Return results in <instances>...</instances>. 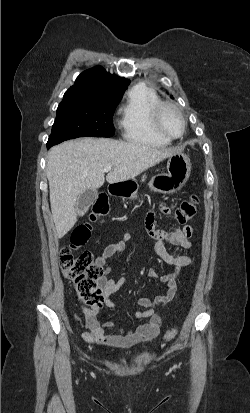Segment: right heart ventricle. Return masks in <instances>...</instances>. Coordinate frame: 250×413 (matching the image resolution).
Wrapping results in <instances>:
<instances>
[{"instance_id": "obj_1", "label": "right heart ventricle", "mask_w": 250, "mask_h": 413, "mask_svg": "<svg viewBox=\"0 0 250 413\" xmlns=\"http://www.w3.org/2000/svg\"><path fill=\"white\" fill-rule=\"evenodd\" d=\"M160 101L157 93L144 84H137L127 92L119 109V126L124 139L158 148L170 143L159 136L152 126V112Z\"/></svg>"}]
</instances>
